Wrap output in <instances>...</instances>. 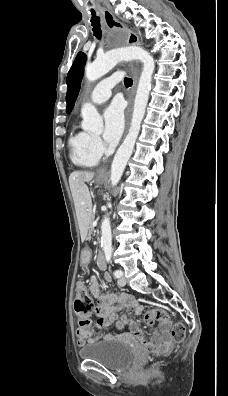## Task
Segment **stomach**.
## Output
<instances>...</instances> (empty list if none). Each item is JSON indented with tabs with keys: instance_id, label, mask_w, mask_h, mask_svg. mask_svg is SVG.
Masks as SVG:
<instances>
[{
	"instance_id": "0dacf381",
	"label": "stomach",
	"mask_w": 228,
	"mask_h": 396,
	"mask_svg": "<svg viewBox=\"0 0 228 396\" xmlns=\"http://www.w3.org/2000/svg\"><path fill=\"white\" fill-rule=\"evenodd\" d=\"M104 181H105V177H104V176H98V177H97L96 182H97L98 184H101V183H103ZM82 254H83V257H84V258H87V257L89 256L90 250H89L88 246H85V247H84V249H83V251H82Z\"/></svg>"
}]
</instances>
